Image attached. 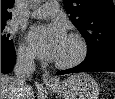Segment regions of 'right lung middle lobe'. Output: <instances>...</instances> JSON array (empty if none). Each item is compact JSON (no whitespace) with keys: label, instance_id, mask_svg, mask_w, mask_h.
I'll return each instance as SVG.
<instances>
[{"label":"right lung middle lobe","instance_id":"dd1d6c3e","mask_svg":"<svg viewBox=\"0 0 115 99\" xmlns=\"http://www.w3.org/2000/svg\"><path fill=\"white\" fill-rule=\"evenodd\" d=\"M6 23H1V49L11 50L13 45V40L10 39V34L5 31Z\"/></svg>","mask_w":115,"mask_h":99}]
</instances>
